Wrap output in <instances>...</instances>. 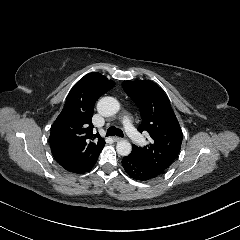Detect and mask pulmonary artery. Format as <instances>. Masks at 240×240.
I'll list each match as a JSON object with an SVG mask.
<instances>
[{"label": "pulmonary artery", "instance_id": "1", "mask_svg": "<svg viewBox=\"0 0 240 240\" xmlns=\"http://www.w3.org/2000/svg\"><path fill=\"white\" fill-rule=\"evenodd\" d=\"M121 124L124 125V129L127 131V133L130 135V137L137 142L138 146H143L144 143L146 142V137L143 135H140L139 133L136 132L134 129L133 125L131 123H128L127 118H122L121 119Z\"/></svg>", "mask_w": 240, "mask_h": 240}]
</instances>
